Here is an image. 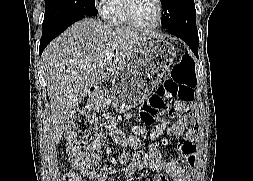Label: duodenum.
I'll list each match as a JSON object with an SVG mask.
<instances>
[{"mask_svg": "<svg viewBox=\"0 0 253 181\" xmlns=\"http://www.w3.org/2000/svg\"><path fill=\"white\" fill-rule=\"evenodd\" d=\"M92 93L94 96H99L102 93V88L97 86L92 88Z\"/></svg>", "mask_w": 253, "mask_h": 181, "instance_id": "410a0bca", "label": "duodenum"}]
</instances>
